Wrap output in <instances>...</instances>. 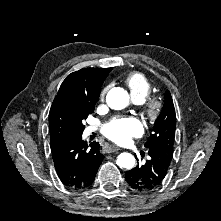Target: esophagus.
<instances>
[{"label": "esophagus", "mask_w": 221, "mask_h": 221, "mask_svg": "<svg viewBox=\"0 0 221 221\" xmlns=\"http://www.w3.org/2000/svg\"><path fill=\"white\" fill-rule=\"evenodd\" d=\"M104 149H105L106 152L112 153V152L118 151V150H119V147L114 146V145L106 144V145L104 146Z\"/></svg>", "instance_id": "1"}]
</instances>
